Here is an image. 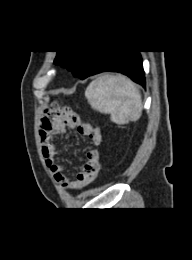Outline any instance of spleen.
<instances>
[{
    "label": "spleen",
    "mask_w": 192,
    "mask_h": 260,
    "mask_svg": "<svg viewBox=\"0 0 192 260\" xmlns=\"http://www.w3.org/2000/svg\"><path fill=\"white\" fill-rule=\"evenodd\" d=\"M85 96L92 109L110 114V119L115 124L125 125L141 117V93L123 75H101L89 84Z\"/></svg>",
    "instance_id": "obj_1"
}]
</instances>
